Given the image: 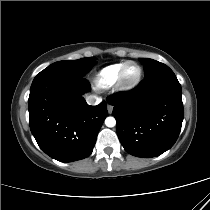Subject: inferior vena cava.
<instances>
[{"instance_id":"obj_1","label":"inferior vena cava","mask_w":210,"mask_h":210,"mask_svg":"<svg viewBox=\"0 0 210 210\" xmlns=\"http://www.w3.org/2000/svg\"><path fill=\"white\" fill-rule=\"evenodd\" d=\"M101 101L100 98L96 97V96H93V95H90V96H87L86 97V102L89 104V105H97L99 104Z\"/></svg>"}]
</instances>
